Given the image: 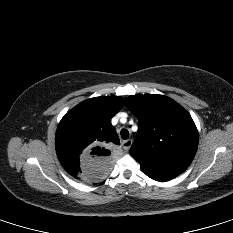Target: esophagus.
Listing matches in <instances>:
<instances>
[{"mask_svg":"<svg viewBox=\"0 0 233 233\" xmlns=\"http://www.w3.org/2000/svg\"><path fill=\"white\" fill-rule=\"evenodd\" d=\"M132 140L128 139L122 142V147L125 151H128L130 149V147L132 146Z\"/></svg>","mask_w":233,"mask_h":233,"instance_id":"esophagus-1","label":"esophagus"}]
</instances>
